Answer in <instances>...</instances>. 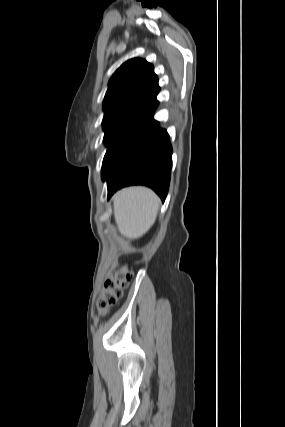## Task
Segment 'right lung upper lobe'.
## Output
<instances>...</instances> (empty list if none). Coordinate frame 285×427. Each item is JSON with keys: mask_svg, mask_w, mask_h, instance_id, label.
Segmentation results:
<instances>
[{"mask_svg": "<svg viewBox=\"0 0 285 427\" xmlns=\"http://www.w3.org/2000/svg\"><path fill=\"white\" fill-rule=\"evenodd\" d=\"M158 78L146 60L126 61L113 74L103 101L104 118L121 113H147L158 101Z\"/></svg>", "mask_w": 285, "mask_h": 427, "instance_id": "cb5924a9", "label": "right lung upper lobe"}]
</instances>
